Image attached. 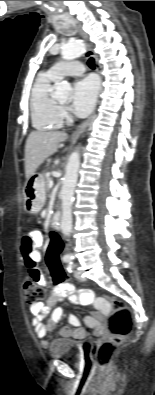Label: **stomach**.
Wrapping results in <instances>:
<instances>
[{"label":"stomach","mask_w":155,"mask_h":395,"mask_svg":"<svg viewBox=\"0 0 155 395\" xmlns=\"http://www.w3.org/2000/svg\"><path fill=\"white\" fill-rule=\"evenodd\" d=\"M24 208L30 214L38 213L46 200L44 180L41 175L34 173L26 182L23 189Z\"/></svg>","instance_id":"obj_1"}]
</instances>
